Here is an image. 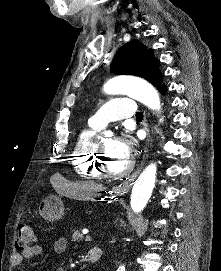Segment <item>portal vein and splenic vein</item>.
<instances>
[{
    "label": "portal vein and splenic vein",
    "instance_id": "obj_1",
    "mask_svg": "<svg viewBox=\"0 0 221 271\" xmlns=\"http://www.w3.org/2000/svg\"><path fill=\"white\" fill-rule=\"evenodd\" d=\"M91 239H93V234H86V237H84V242H91Z\"/></svg>",
    "mask_w": 221,
    "mask_h": 271
}]
</instances>
